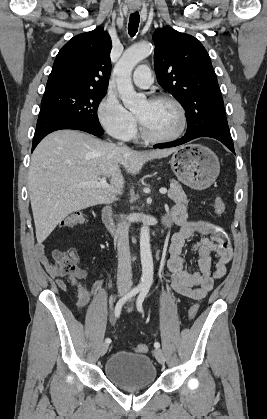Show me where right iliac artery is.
I'll return each mask as SVG.
<instances>
[{"label":"right iliac artery","mask_w":267,"mask_h":419,"mask_svg":"<svg viewBox=\"0 0 267 419\" xmlns=\"http://www.w3.org/2000/svg\"><path fill=\"white\" fill-rule=\"evenodd\" d=\"M142 290L141 286H137L135 288H133L130 292H128L126 295H124L121 299H119V301L117 302L116 306H115V317L118 318L121 314V310L122 307L124 305V303L130 299L131 297L135 296L137 293H139ZM106 343H111V339L110 338H106L105 340Z\"/></svg>","instance_id":"1"}]
</instances>
